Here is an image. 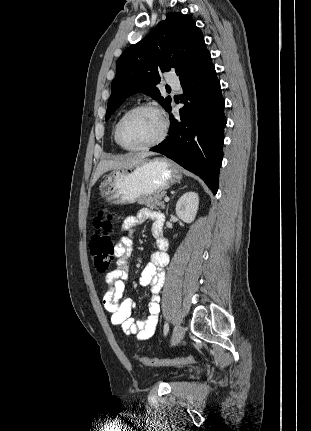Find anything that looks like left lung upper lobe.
<instances>
[{"label": "left lung upper lobe", "mask_w": 311, "mask_h": 431, "mask_svg": "<svg viewBox=\"0 0 311 431\" xmlns=\"http://www.w3.org/2000/svg\"><path fill=\"white\" fill-rule=\"evenodd\" d=\"M207 50L201 30L189 15L168 13L142 41L127 48L117 61V73L111 85L106 120L124 100L144 92L168 111L171 98H163L155 86L160 72L174 69L182 77L194 60Z\"/></svg>", "instance_id": "1"}]
</instances>
